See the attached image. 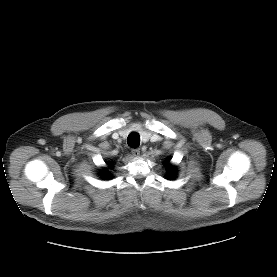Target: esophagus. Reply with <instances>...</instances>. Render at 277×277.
Masks as SVG:
<instances>
[{
    "instance_id": "esophagus-1",
    "label": "esophagus",
    "mask_w": 277,
    "mask_h": 277,
    "mask_svg": "<svg viewBox=\"0 0 277 277\" xmlns=\"http://www.w3.org/2000/svg\"><path fill=\"white\" fill-rule=\"evenodd\" d=\"M131 153L134 157H139L140 149H138V148L132 149Z\"/></svg>"
}]
</instances>
